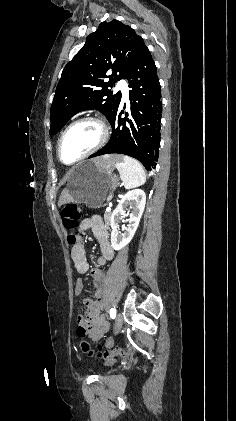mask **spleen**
<instances>
[{
  "mask_svg": "<svg viewBox=\"0 0 236 421\" xmlns=\"http://www.w3.org/2000/svg\"><path fill=\"white\" fill-rule=\"evenodd\" d=\"M119 170L120 178L123 180L125 188H135L146 182L145 170L136 158L122 156L115 164Z\"/></svg>",
  "mask_w": 236,
  "mask_h": 421,
  "instance_id": "obj_1",
  "label": "spleen"
}]
</instances>
